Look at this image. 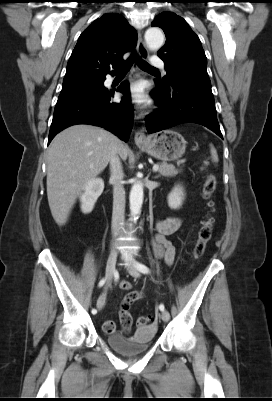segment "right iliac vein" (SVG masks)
Segmentation results:
<instances>
[{
    "label": "right iliac vein",
    "instance_id": "1",
    "mask_svg": "<svg viewBox=\"0 0 272 401\" xmlns=\"http://www.w3.org/2000/svg\"><path fill=\"white\" fill-rule=\"evenodd\" d=\"M116 261H117V252L116 250H111L108 260H107V265H106V286L105 289H107L112 281V277H113V273L115 270V265H116ZM105 296H106V292H104L100 297L102 298V300H105ZM98 309H101V305H99V303L97 304Z\"/></svg>",
    "mask_w": 272,
    "mask_h": 401
}]
</instances>
